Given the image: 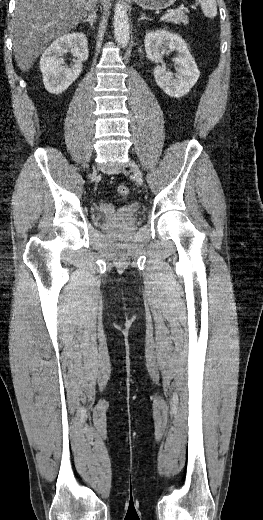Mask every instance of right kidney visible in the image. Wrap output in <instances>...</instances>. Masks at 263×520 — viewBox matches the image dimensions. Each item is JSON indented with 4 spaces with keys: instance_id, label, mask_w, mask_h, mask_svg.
<instances>
[{
    "instance_id": "obj_1",
    "label": "right kidney",
    "mask_w": 263,
    "mask_h": 520,
    "mask_svg": "<svg viewBox=\"0 0 263 520\" xmlns=\"http://www.w3.org/2000/svg\"><path fill=\"white\" fill-rule=\"evenodd\" d=\"M68 51L76 58L71 67L64 66L62 58ZM87 59L88 43L84 33L75 32L58 37L40 59L45 89L51 94L63 93L79 77L82 63Z\"/></svg>"
}]
</instances>
